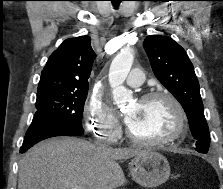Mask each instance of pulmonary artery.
<instances>
[{"mask_svg":"<svg viewBox=\"0 0 223 189\" xmlns=\"http://www.w3.org/2000/svg\"><path fill=\"white\" fill-rule=\"evenodd\" d=\"M144 82V73L139 68H134L131 70L130 74L126 78V84L131 87H139Z\"/></svg>","mask_w":223,"mask_h":189,"instance_id":"1","label":"pulmonary artery"}]
</instances>
